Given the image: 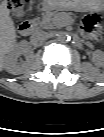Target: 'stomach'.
<instances>
[{"instance_id":"obj_1","label":"stomach","mask_w":104,"mask_h":137,"mask_svg":"<svg viewBox=\"0 0 104 137\" xmlns=\"http://www.w3.org/2000/svg\"><path fill=\"white\" fill-rule=\"evenodd\" d=\"M97 0H44L43 6L47 10L77 9L87 10L93 9Z\"/></svg>"}]
</instances>
